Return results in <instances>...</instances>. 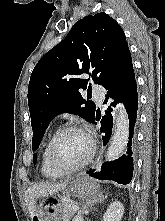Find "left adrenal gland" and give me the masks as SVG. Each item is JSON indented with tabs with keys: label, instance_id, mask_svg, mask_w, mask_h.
Returning <instances> with one entry per match:
<instances>
[{
	"label": "left adrenal gland",
	"instance_id": "left-adrenal-gland-1",
	"mask_svg": "<svg viewBox=\"0 0 165 221\" xmlns=\"http://www.w3.org/2000/svg\"><path fill=\"white\" fill-rule=\"evenodd\" d=\"M107 198V196H103L102 193L97 194L96 196H94L93 198L87 200L86 204L83 205V209H86L90 206H94L95 204L101 203L103 202V200H105Z\"/></svg>",
	"mask_w": 165,
	"mask_h": 221
}]
</instances>
